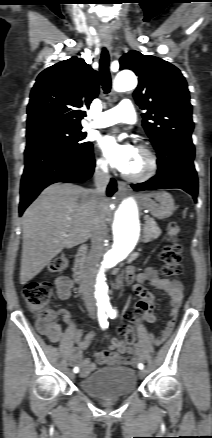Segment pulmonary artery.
Masks as SVG:
<instances>
[{"label":"pulmonary artery","mask_w":212,"mask_h":438,"mask_svg":"<svg viewBox=\"0 0 212 438\" xmlns=\"http://www.w3.org/2000/svg\"><path fill=\"white\" fill-rule=\"evenodd\" d=\"M136 112L129 99L122 100L117 106L102 112L91 127L103 128L117 123H135Z\"/></svg>","instance_id":"obj_1"}]
</instances>
